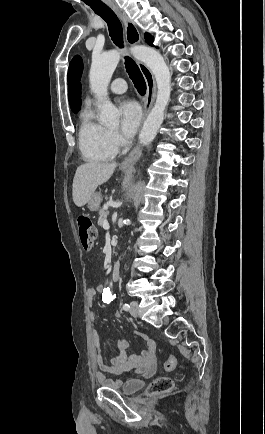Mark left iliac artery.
Instances as JSON below:
<instances>
[{
  "label": "left iliac artery",
  "mask_w": 265,
  "mask_h": 434,
  "mask_svg": "<svg viewBox=\"0 0 265 434\" xmlns=\"http://www.w3.org/2000/svg\"><path fill=\"white\" fill-rule=\"evenodd\" d=\"M122 308H123L125 311H128V310L130 309V305L127 304V303H125V304H123Z\"/></svg>",
  "instance_id": "1"
}]
</instances>
